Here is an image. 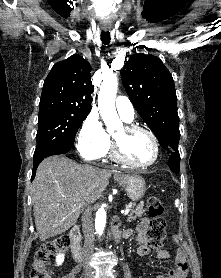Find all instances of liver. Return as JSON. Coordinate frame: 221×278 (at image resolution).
<instances>
[{"instance_id": "1", "label": "liver", "mask_w": 221, "mask_h": 278, "mask_svg": "<svg viewBox=\"0 0 221 278\" xmlns=\"http://www.w3.org/2000/svg\"><path fill=\"white\" fill-rule=\"evenodd\" d=\"M112 173L79 165L65 156L44 159L31 189L40 240L60 235L75 225L81 208L101 197Z\"/></svg>"}]
</instances>
